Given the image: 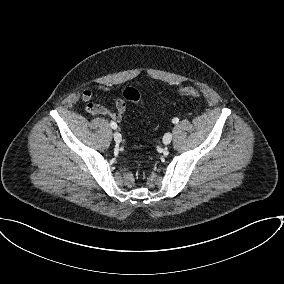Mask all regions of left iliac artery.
Instances as JSON below:
<instances>
[{"mask_svg":"<svg viewBox=\"0 0 284 284\" xmlns=\"http://www.w3.org/2000/svg\"><path fill=\"white\" fill-rule=\"evenodd\" d=\"M172 122H173L174 124H177V123L179 122V119H178V118H173Z\"/></svg>","mask_w":284,"mask_h":284,"instance_id":"1","label":"left iliac artery"}]
</instances>
